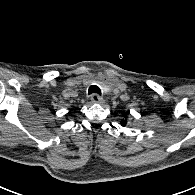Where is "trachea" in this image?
Returning a JSON list of instances; mask_svg holds the SVG:
<instances>
[{
  "label": "trachea",
  "mask_w": 195,
  "mask_h": 195,
  "mask_svg": "<svg viewBox=\"0 0 195 195\" xmlns=\"http://www.w3.org/2000/svg\"><path fill=\"white\" fill-rule=\"evenodd\" d=\"M88 93L89 94L96 93V94L100 95L101 94V90H100V88L97 85H92V86L89 87Z\"/></svg>",
  "instance_id": "obj_1"
}]
</instances>
